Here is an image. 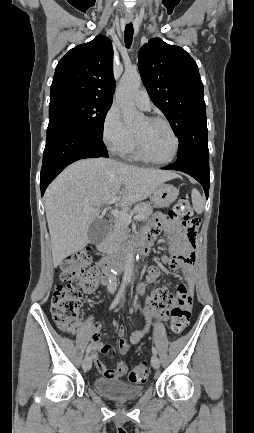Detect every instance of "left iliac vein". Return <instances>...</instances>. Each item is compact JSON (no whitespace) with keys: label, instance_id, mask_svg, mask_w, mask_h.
<instances>
[{"label":"left iliac vein","instance_id":"1","mask_svg":"<svg viewBox=\"0 0 254 433\" xmlns=\"http://www.w3.org/2000/svg\"><path fill=\"white\" fill-rule=\"evenodd\" d=\"M151 365L154 369H158L160 367V360L155 354L151 357Z\"/></svg>","mask_w":254,"mask_h":433}]
</instances>
